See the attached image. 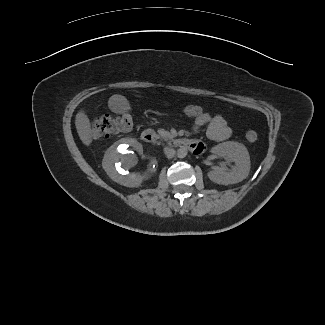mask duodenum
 I'll use <instances>...</instances> for the list:
<instances>
[{
  "label": "duodenum",
  "instance_id": "1",
  "mask_svg": "<svg viewBox=\"0 0 325 325\" xmlns=\"http://www.w3.org/2000/svg\"><path fill=\"white\" fill-rule=\"evenodd\" d=\"M141 137L145 143L149 144L155 142L156 140V135L151 129L144 130L141 134ZM172 143L173 145L181 149L192 147V145L194 144L191 141L183 138H175Z\"/></svg>",
  "mask_w": 325,
  "mask_h": 325
}]
</instances>
